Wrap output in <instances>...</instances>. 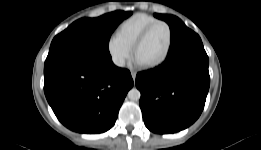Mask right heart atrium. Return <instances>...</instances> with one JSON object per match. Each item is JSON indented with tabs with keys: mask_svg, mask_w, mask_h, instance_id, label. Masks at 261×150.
Wrapping results in <instances>:
<instances>
[{
	"mask_svg": "<svg viewBox=\"0 0 261 150\" xmlns=\"http://www.w3.org/2000/svg\"><path fill=\"white\" fill-rule=\"evenodd\" d=\"M106 48L111 61L119 68L124 67L131 57V48L123 43L116 35H112L108 38Z\"/></svg>",
	"mask_w": 261,
	"mask_h": 150,
	"instance_id": "d8ad5b80",
	"label": "right heart atrium"
}]
</instances>
